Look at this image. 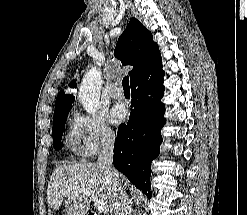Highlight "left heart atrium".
I'll list each match as a JSON object with an SVG mask.
<instances>
[{
  "mask_svg": "<svg viewBox=\"0 0 247 215\" xmlns=\"http://www.w3.org/2000/svg\"><path fill=\"white\" fill-rule=\"evenodd\" d=\"M126 118V110L122 105H116L112 108L110 112V122L112 124L118 125L122 123Z\"/></svg>",
  "mask_w": 247,
  "mask_h": 215,
  "instance_id": "left-heart-atrium-1",
  "label": "left heart atrium"
}]
</instances>
